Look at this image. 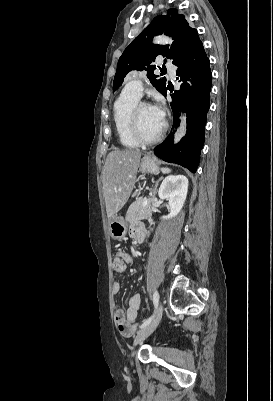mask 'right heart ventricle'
<instances>
[{"mask_svg": "<svg viewBox=\"0 0 273 401\" xmlns=\"http://www.w3.org/2000/svg\"><path fill=\"white\" fill-rule=\"evenodd\" d=\"M139 99L131 94L122 93L113 103V122L120 143L127 148H138L142 144L136 141L129 133V116Z\"/></svg>", "mask_w": 273, "mask_h": 401, "instance_id": "1", "label": "right heart ventricle"}]
</instances>
